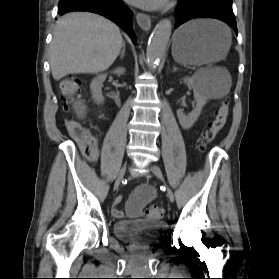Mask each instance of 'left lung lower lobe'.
Segmentation results:
<instances>
[{"mask_svg":"<svg viewBox=\"0 0 279 279\" xmlns=\"http://www.w3.org/2000/svg\"><path fill=\"white\" fill-rule=\"evenodd\" d=\"M194 18H215L229 24L238 34L232 0H179L176 8L177 28L182 23Z\"/></svg>","mask_w":279,"mask_h":279,"instance_id":"left-lung-lower-lobe-1","label":"left lung lower lobe"}]
</instances>
